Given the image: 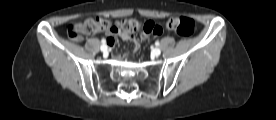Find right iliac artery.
Returning <instances> with one entry per match:
<instances>
[{
  "mask_svg": "<svg viewBox=\"0 0 276 120\" xmlns=\"http://www.w3.org/2000/svg\"><path fill=\"white\" fill-rule=\"evenodd\" d=\"M101 42H102L103 45H105L106 44V39H102Z\"/></svg>",
  "mask_w": 276,
  "mask_h": 120,
  "instance_id": "1",
  "label": "right iliac artery"
}]
</instances>
